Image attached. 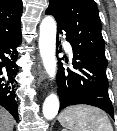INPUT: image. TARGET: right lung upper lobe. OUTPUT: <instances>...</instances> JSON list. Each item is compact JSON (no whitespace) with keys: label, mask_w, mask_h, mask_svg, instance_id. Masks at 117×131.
Returning a JSON list of instances; mask_svg holds the SVG:
<instances>
[{"label":"right lung upper lobe","mask_w":117,"mask_h":131,"mask_svg":"<svg viewBox=\"0 0 117 131\" xmlns=\"http://www.w3.org/2000/svg\"><path fill=\"white\" fill-rule=\"evenodd\" d=\"M22 0H0V41L21 32Z\"/></svg>","instance_id":"1"}]
</instances>
